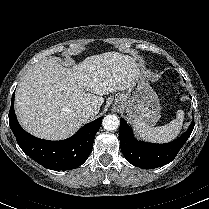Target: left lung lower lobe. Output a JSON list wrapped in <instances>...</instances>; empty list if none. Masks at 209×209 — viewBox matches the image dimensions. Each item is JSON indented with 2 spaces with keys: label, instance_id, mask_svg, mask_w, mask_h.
I'll use <instances>...</instances> for the list:
<instances>
[{
  "label": "left lung lower lobe",
  "instance_id": "1",
  "mask_svg": "<svg viewBox=\"0 0 209 209\" xmlns=\"http://www.w3.org/2000/svg\"><path fill=\"white\" fill-rule=\"evenodd\" d=\"M194 128V120L188 130L177 140L167 144H151L137 141L132 135V129L120 119V147L123 155L132 165L152 169L164 166L171 162L186 143Z\"/></svg>",
  "mask_w": 209,
  "mask_h": 209
}]
</instances>
